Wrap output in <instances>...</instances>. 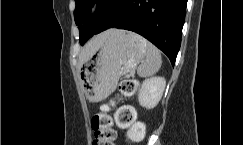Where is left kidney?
<instances>
[{
	"mask_svg": "<svg viewBox=\"0 0 243 145\" xmlns=\"http://www.w3.org/2000/svg\"><path fill=\"white\" fill-rule=\"evenodd\" d=\"M165 86L166 81L163 77L146 79L139 91V104L147 109L156 107L163 95Z\"/></svg>",
	"mask_w": 243,
	"mask_h": 145,
	"instance_id": "obj_1",
	"label": "left kidney"
}]
</instances>
